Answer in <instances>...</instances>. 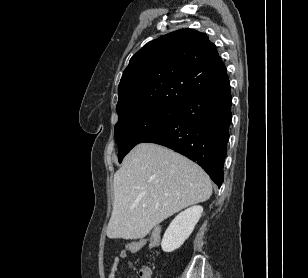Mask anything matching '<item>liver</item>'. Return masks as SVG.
<instances>
[{"instance_id": "liver-1", "label": "liver", "mask_w": 308, "mask_h": 278, "mask_svg": "<svg viewBox=\"0 0 308 278\" xmlns=\"http://www.w3.org/2000/svg\"><path fill=\"white\" fill-rule=\"evenodd\" d=\"M110 239H141L182 209L212 195L209 176L196 163L154 143H140L114 175Z\"/></svg>"}]
</instances>
